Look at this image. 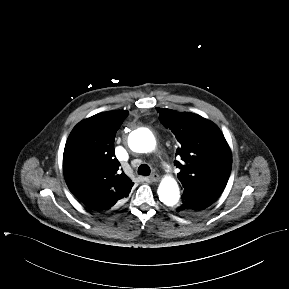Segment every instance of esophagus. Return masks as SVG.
Here are the masks:
<instances>
[{
	"instance_id": "obj_1",
	"label": "esophagus",
	"mask_w": 289,
	"mask_h": 289,
	"mask_svg": "<svg viewBox=\"0 0 289 289\" xmlns=\"http://www.w3.org/2000/svg\"><path fill=\"white\" fill-rule=\"evenodd\" d=\"M150 180L151 181H153V182H157V181H159L160 180V177H159V175L158 174H156V173H153L152 175H150Z\"/></svg>"
}]
</instances>
